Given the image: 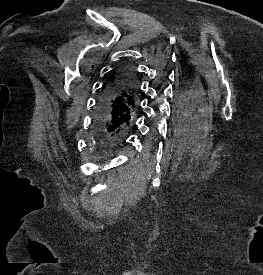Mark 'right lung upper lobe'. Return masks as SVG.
<instances>
[{"instance_id": "right-lung-upper-lobe-1", "label": "right lung upper lobe", "mask_w": 263, "mask_h": 275, "mask_svg": "<svg viewBox=\"0 0 263 275\" xmlns=\"http://www.w3.org/2000/svg\"><path fill=\"white\" fill-rule=\"evenodd\" d=\"M126 70H128V68H121L117 72L113 73L109 77L108 82L104 88L114 83H120L127 92L122 102V109L124 110L123 113L128 116H134L138 106V91L134 79L122 77L121 74Z\"/></svg>"}]
</instances>
